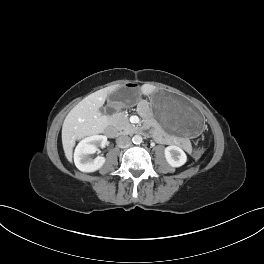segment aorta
<instances>
[{"label":"aorta","instance_id":"1","mask_svg":"<svg viewBox=\"0 0 264 264\" xmlns=\"http://www.w3.org/2000/svg\"><path fill=\"white\" fill-rule=\"evenodd\" d=\"M132 141L134 144H140V143H142V136L135 135V136H133Z\"/></svg>","mask_w":264,"mask_h":264}]
</instances>
